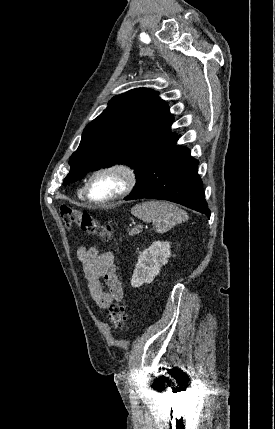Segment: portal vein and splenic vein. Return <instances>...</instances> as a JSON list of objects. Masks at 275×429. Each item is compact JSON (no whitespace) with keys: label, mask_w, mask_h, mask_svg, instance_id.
<instances>
[{"label":"portal vein and splenic vein","mask_w":275,"mask_h":429,"mask_svg":"<svg viewBox=\"0 0 275 429\" xmlns=\"http://www.w3.org/2000/svg\"><path fill=\"white\" fill-rule=\"evenodd\" d=\"M140 228H143V225H140Z\"/></svg>","instance_id":"1"}]
</instances>
